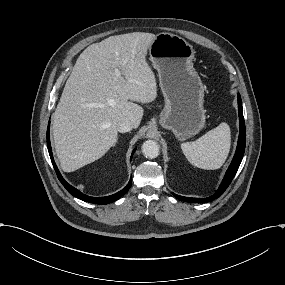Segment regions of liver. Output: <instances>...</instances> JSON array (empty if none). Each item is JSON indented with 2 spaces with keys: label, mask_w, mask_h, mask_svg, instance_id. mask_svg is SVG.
I'll use <instances>...</instances> for the list:
<instances>
[{
  "label": "liver",
  "mask_w": 285,
  "mask_h": 285,
  "mask_svg": "<svg viewBox=\"0 0 285 285\" xmlns=\"http://www.w3.org/2000/svg\"><path fill=\"white\" fill-rule=\"evenodd\" d=\"M157 36L130 33L90 45L77 60L54 113L57 156L65 172L103 157L117 142V125L133 128L143 108L158 98L155 73L148 63Z\"/></svg>",
  "instance_id": "liver-1"
}]
</instances>
